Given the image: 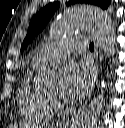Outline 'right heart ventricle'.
<instances>
[{
    "label": "right heart ventricle",
    "mask_w": 125,
    "mask_h": 128,
    "mask_svg": "<svg viewBox=\"0 0 125 128\" xmlns=\"http://www.w3.org/2000/svg\"><path fill=\"white\" fill-rule=\"evenodd\" d=\"M39 68L32 62L25 71L18 94V108L22 117L28 120L45 122L53 116V103L33 83L35 71Z\"/></svg>",
    "instance_id": "right-heart-ventricle-1"
}]
</instances>
